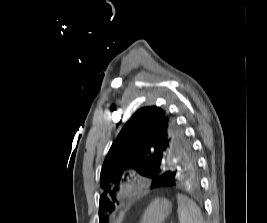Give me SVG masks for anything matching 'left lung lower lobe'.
<instances>
[{
    "mask_svg": "<svg viewBox=\"0 0 267 223\" xmlns=\"http://www.w3.org/2000/svg\"><path fill=\"white\" fill-rule=\"evenodd\" d=\"M201 171H166L153 173V178H158L151 184V192H164V194H182L185 189H197Z\"/></svg>",
    "mask_w": 267,
    "mask_h": 223,
    "instance_id": "0a47b994",
    "label": "left lung lower lobe"
}]
</instances>
